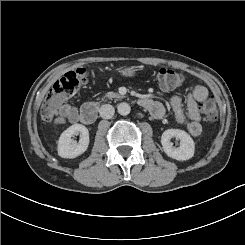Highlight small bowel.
Returning <instances> with one entry per match:
<instances>
[{"label": "small bowel", "mask_w": 245, "mask_h": 245, "mask_svg": "<svg viewBox=\"0 0 245 245\" xmlns=\"http://www.w3.org/2000/svg\"><path fill=\"white\" fill-rule=\"evenodd\" d=\"M208 97V90L203 85H196L191 93L183 99L179 95H174L171 99L176 120L183 124L187 132L196 137L202 131L201 117L198 112V102L204 101ZM147 104L145 108L149 110L155 118H160L164 114V107L161 103L151 99H144ZM80 120L78 110L70 104L63 103L59 109V116L56 119L58 124H64L66 121L76 123Z\"/></svg>", "instance_id": "small-bowel-1"}]
</instances>
